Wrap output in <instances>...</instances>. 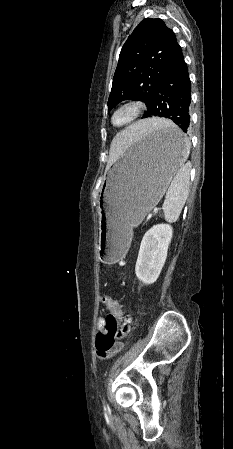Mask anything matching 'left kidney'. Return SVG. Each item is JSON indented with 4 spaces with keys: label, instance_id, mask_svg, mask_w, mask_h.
<instances>
[{
    "label": "left kidney",
    "instance_id": "5707ae66",
    "mask_svg": "<svg viewBox=\"0 0 233 449\" xmlns=\"http://www.w3.org/2000/svg\"><path fill=\"white\" fill-rule=\"evenodd\" d=\"M172 235L173 228L169 224L154 225L145 233L135 266L136 276L144 284H153L158 279Z\"/></svg>",
    "mask_w": 233,
    "mask_h": 449
}]
</instances>
